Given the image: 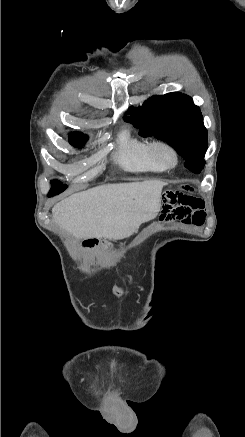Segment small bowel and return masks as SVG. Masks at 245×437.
<instances>
[{
  "instance_id": "1",
  "label": "small bowel",
  "mask_w": 245,
  "mask_h": 437,
  "mask_svg": "<svg viewBox=\"0 0 245 437\" xmlns=\"http://www.w3.org/2000/svg\"><path fill=\"white\" fill-rule=\"evenodd\" d=\"M178 189L166 194L164 207L159 211V221L162 224H172L177 219L186 225H202L205 220L204 202L186 194L190 190L187 183H180Z\"/></svg>"
}]
</instances>
